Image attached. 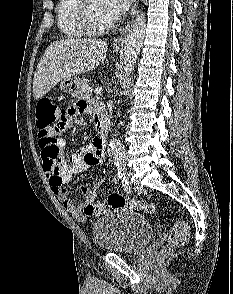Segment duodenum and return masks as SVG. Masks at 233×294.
I'll use <instances>...</instances> for the list:
<instances>
[{
    "instance_id": "1",
    "label": "duodenum",
    "mask_w": 233,
    "mask_h": 294,
    "mask_svg": "<svg viewBox=\"0 0 233 294\" xmlns=\"http://www.w3.org/2000/svg\"><path fill=\"white\" fill-rule=\"evenodd\" d=\"M95 130L97 140L104 144L110 132V122L103 106L97 104L94 108Z\"/></svg>"
}]
</instances>
